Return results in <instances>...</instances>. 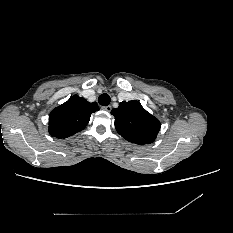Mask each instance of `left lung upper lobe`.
<instances>
[{"label": "left lung upper lobe", "mask_w": 233, "mask_h": 233, "mask_svg": "<svg viewBox=\"0 0 233 233\" xmlns=\"http://www.w3.org/2000/svg\"><path fill=\"white\" fill-rule=\"evenodd\" d=\"M115 117V128L126 140L139 145L154 142L160 130V122L148 113L136 100L121 102L111 111Z\"/></svg>", "instance_id": "left-lung-upper-lobe-1"}]
</instances>
